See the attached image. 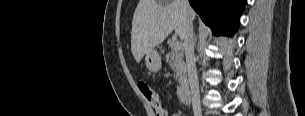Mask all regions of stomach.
<instances>
[{
  "label": "stomach",
  "instance_id": "1",
  "mask_svg": "<svg viewBox=\"0 0 305 116\" xmlns=\"http://www.w3.org/2000/svg\"><path fill=\"white\" fill-rule=\"evenodd\" d=\"M145 64L151 72H157L161 69V56L156 49H152L146 54Z\"/></svg>",
  "mask_w": 305,
  "mask_h": 116
}]
</instances>
